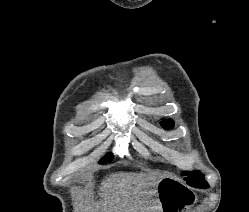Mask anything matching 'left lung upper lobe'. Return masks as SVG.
Listing matches in <instances>:
<instances>
[{"mask_svg": "<svg viewBox=\"0 0 249 212\" xmlns=\"http://www.w3.org/2000/svg\"><path fill=\"white\" fill-rule=\"evenodd\" d=\"M162 126L164 128H172L173 127V122L170 120H166L162 122ZM182 175L185 176L187 175L188 177L186 178V181L188 182L189 185L193 187H205L209 186L204 180H203V175L199 172L193 171V172H188V171H183Z\"/></svg>", "mask_w": 249, "mask_h": 212, "instance_id": "1", "label": "left lung upper lobe"}]
</instances>
